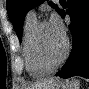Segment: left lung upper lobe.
<instances>
[{"instance_id":"5c2ea615","label":"left lung upper lobe","mask_w":89,"mask_h":89,"mask_svg":"<svg viewBox=\"0 0 89 89\" xmlns=\"http://www.w3.org/2000/svg\"><path fill=\"white\" fill-rule=\"evenodd\" d=\"M43 1L44 0H7L6 7L8 16L20 41L22 36L23 22L27 12L33 7L41 4ZM49 4L56 8L58 13L60 12L61 9H59L55 4L52 2H49Z\"/></svg>"}]
</instances>
